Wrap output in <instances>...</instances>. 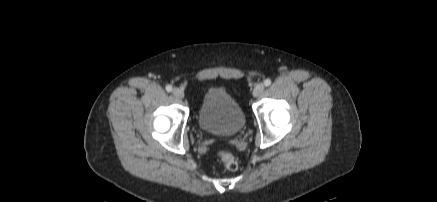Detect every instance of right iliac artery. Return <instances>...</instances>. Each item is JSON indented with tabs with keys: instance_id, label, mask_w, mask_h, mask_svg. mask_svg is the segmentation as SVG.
Listing matches in <instances>:
<instances>
[{
	"instance_id": "obj_1",
	"label": "right iliac artery",
	"mask_w": 437,
	"mask_h": 202,
	"mask_svg": "<svg viewBox=\"0 0 437 202\" xmlns=\"http://www.w3.org/2000/svg\"><path fill=\"white\" fill-rule=\"evenodd\" d=\"M166 90H167L168 92H171V91H172V86H171V85H167V86H166Z\"/></svg>"
}]
</instances>
